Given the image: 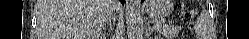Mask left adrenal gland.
Listing matches in <instances>:
<instances>
[{
  "mask_svg": "<svg viewBox=\"0 0 249 39\" xmlns=\"http://www.w3.org/2000/svg\"><path fill=\"white\" fill-rule=\"evenodd\" d=\"M147 24H148V26H149V28H150V24H149V22H147Z\"/></svg>",
  "mask_w": 249,
  "mask_h": 39,
  "instance_id": "1",
  "label": "left adrenal gland"
}]
</instances>
